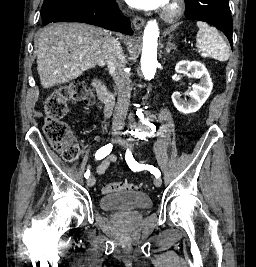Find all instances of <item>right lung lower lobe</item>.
<instances>
[{
    "instance_id": "right-lung-lower-lobe-1",
    "label": "right lung lower lobe",
    "mask_w": 256,
    "mask_h": 267,
    "mask_svg": "<svg viewBox=\"0 0 256 267\" xmlns=\"http://www.w3.org/2000/svg\"><path fill=\"white\" fill-rule=\"evenodd\" d=\"M41 16V25L55 22H83L126 35L133 33L129 19L121 14L115 0L92 1L77 9L64 6L53 7Z\"/></svg>"
}]
</instances>
